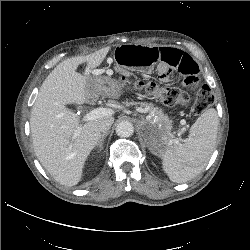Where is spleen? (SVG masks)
Segmentation results:
<instances>
[{
	"instance_id": "3e777b00",
	"label": "spleen",
	"mask_w": 250,
	"mask_h": 250,
	"mask_svg": "<svg viewBox=\"0 0 250 250\" xmlns=\"http://www.w3.org/2000/svg\"><path fill=\"white\" fill-rule=\"evenodd\" d=\"M218 125L216 110H205L191 126L183 144L160 153L163 170L171 181L185 183L204 169L216 145Z\"/></svg>"
}]
</instances>
